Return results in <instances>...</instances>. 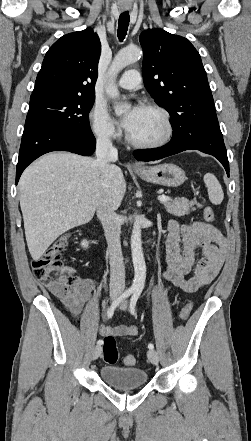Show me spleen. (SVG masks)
<instances>
[{"label":"spleen","instance_id":"obj_1","mask_svg":"<svg viewBox=\"0 0 251 441\" xmlns=\"http://www.w3.org/2000/svg\"><path fill=\"white\" fill-rule=\"evenodd\" d=\"M204 182L208 190L209 200L212 204L219 205L222 203L224 193L218 179L212 173L204 176Z\"/></svg>","mask_w":251,"mask_h":441}]
</instances>
